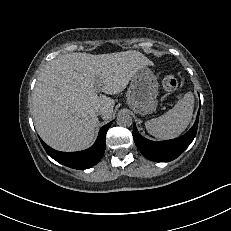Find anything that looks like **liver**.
Instances as JSON below:
<instances>
[{"label": "liver", "instance_id": "6515ba94", "mask_svg": "<svg viewBox=\"0 0 231 231\" xmlns=\"http://www.w3.org/2000/svg\"><path fill=\"white\" fill-rule=\"evenodd\" d=\"M153 63L141 52L69 53L48 62L32 95V116L40 137L59 151L90 147L98 125L96 111L108 120L115 101L106 95L122 92L133 74Z\"/></svg>", "mask_w": 231, "mask_h": 231}]
</instances>
